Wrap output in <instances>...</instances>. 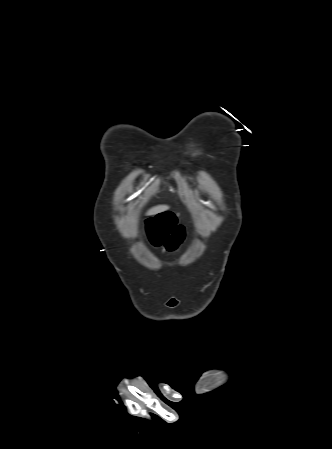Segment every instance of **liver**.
<instances>
[{
  "instance_id": "6515ba94",
  "label": "liver",
  "mask_w": 332,
  "mask_h": 449,
  "mask_svg": "<svg viewBox=\"0 0 332 449\" xmlns=\"http://www.w3.org/2000/svg\"><path fill=\"white\" fill-rule=\"evenodd\" d=\"M169 208V206L167 205H159L156 207L151 208L148 212L147 215H156L158 213L164 212L165 210H167Z\"/></svg>"
}]
</instances>
